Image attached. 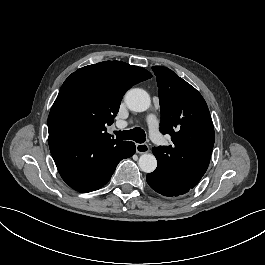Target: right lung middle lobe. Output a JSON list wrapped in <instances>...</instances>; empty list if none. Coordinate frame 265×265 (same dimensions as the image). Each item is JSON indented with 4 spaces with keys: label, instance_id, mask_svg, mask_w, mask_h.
<instances>
[{
    "label": "right lung middle lobe",
    "instance_id": "obj_1",
    "mask_svg": "<svg viewBox=\"0 0 265 265\" xmlns=\"http://www.w3.org/2000/svg\"><path fill=\"white\" fill-rule=\"evenodd\" d=\"M90 112L82 107L66 106L60 108L48 119L49 132L80 136L90 120Z\"/></svg>",
    "mask_w": 265,
    "mask_h": 265
}]
</instances>
